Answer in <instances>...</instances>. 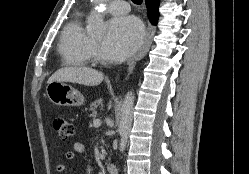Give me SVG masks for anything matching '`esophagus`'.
<instances>
[{"mask_svg":"<svg viewBox=\"0 0 249 174\" xmlns=\"http://www.w3.org/2000/svg\"><path fill=\"white\" fill-rule=\"evenodd\" d=\"M152 37H153V26L151 25L150 22H148L146 26V35L141 49L128 61L127 64L128 75L132 73V71L134 70L136 62L142 59L147 54L152 42Z\"/></svg>","mask_w":249,"mask_h":174,"instance_id":"34e87169","label":"esophagus"}]
</instances>
